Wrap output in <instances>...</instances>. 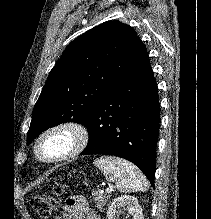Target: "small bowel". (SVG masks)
<instances>
[{
    "label": "small bowel",
    "instance_id": "1",
    "mask_svg": "<svg viewBox=\"0 0 211 219\" xmlns=\"http://www.w3.org/2000/svg\"><path fill=\"white\" fill-rule=\"evenodd\" d=\"M54 219H100L82 197L67 201L62 211Z\"/></svg>",
    "mask_w": 211,
    "mask_h": 219
}]
</instances>
